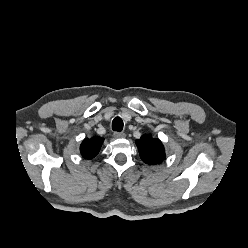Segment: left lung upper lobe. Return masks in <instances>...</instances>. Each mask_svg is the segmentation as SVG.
<instances>
[{
    "label": "left lung upper lobe",
    "instance_id": "obj_1",
    "mask_svg": "<svg viewBox=\"0 0 248 248\" xmlns=\"http://www.w3.org/2000/svg\"><path fill=\"white\" fill-rule=\"evenodd\" d=\"M136 145L140 157L145 163L155 165L165 160L164 146L159 139H154L151 135L146 134L136 140Z\"/></svg>",
    "mask_w": 248,
    "mask_h": 248
}]
</instances>
